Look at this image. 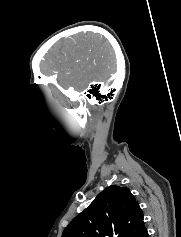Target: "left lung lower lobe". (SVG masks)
Returning a JSON list of instances; mask_svg holds the SVG:
<instances>
[{
    "label": "left lung lower lobe",
    "instance_id": "0a47b994",
    "mask_svg": "<svg viewBox=\"0 0 181 237\" xmlns=\"http://www.w3.org/2000/svg\"><path fill=\"white\" fill-rule=\"evenodd\" d=\"M138 237H148L147 229H145Z\"/></svg>",
    "mask_w": 181,
    "mask_h": 237
}]
</instances>
